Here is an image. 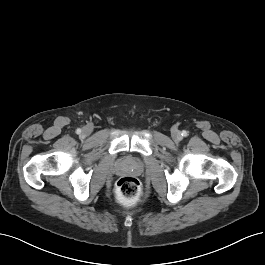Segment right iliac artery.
I'll return each mask as SVG.
<instances>
[{"label":"right iliac artery","mask_w":265,"mask_h":265,"mask_svg":"<svg viewBox=\"0 0 265 265\" xmlns=\"http://www.w3.org/2000/svg\"><path fill=\"white\" fill-rule=\"evenodd\" d=\"M76 133H77V134H80V133H81V129H77V130H76Z\"/></svg>","instance_id":"82829eb1"}]
</instances>
